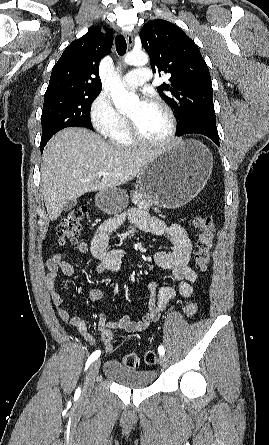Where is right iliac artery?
<instances>
[{"label": "right iliac artery", "instance_id": "right-iliac-artery-1", "mask_svg": "<svg viewBox=\"0 0 269 445\" xmlns=\"http://www.w3.org/2000/svg\"><path fill=\"white\" fill-rule=\"evenodd\" d=\"M100 354H101V351H100V350H96L95 352H93V353L91 354V356L88 358V360H87V362H86L85 370L89 367V365H90L93 361H95L96 359H98V357L100 356ZM77 391L79 392V391H80V388H78Z\"/></svg>", "mask_w": 269, "mask_h": 445}]
</instances>
